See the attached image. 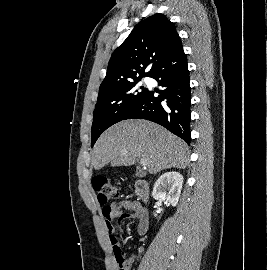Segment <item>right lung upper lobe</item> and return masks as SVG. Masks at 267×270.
I'll return each mask as SVG.
<instances>
[{
	"mask_svg": "<svg viewBox=\"0 0 267 270\" xmlns=\"http://www.w3.org/2000/svg\"><path fill=\"white\" fill-rule=\"evenodd\" d=\"M181 40L175 26L163 14H154L131 31L113 52L99 91L144 76L150 77ZM151 65L145 73V68Z\"/></svg>",
	"mask_w": 267,
	"mask_h": 270,
	"instance_id": "1",
	"label": "right lung upper lobe"
}]
</instances>
